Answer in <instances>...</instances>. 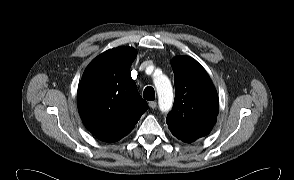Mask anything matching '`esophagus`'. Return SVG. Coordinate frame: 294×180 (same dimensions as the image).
I'll return each mask as SVG.
<instances>
[{
	"label": "esophagus",
	"mask_w": 294,
	"mask_h": 180,
	"mask_svg": "<svg viewBox=\"0 0 294 180\" xmlns=\"http://www.w3.org/2000/svg\"><path fill=\"white\" fill-rule=\"evenodd\" d=\"M149 107L152 108V109L156 108L157 107V102L156 101H150L149 102Z\"/></svg>",
	"instance_id": "34e87169"
}]
</instances>
